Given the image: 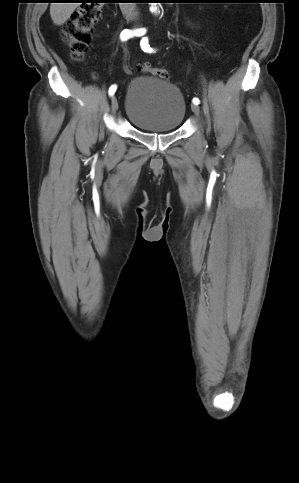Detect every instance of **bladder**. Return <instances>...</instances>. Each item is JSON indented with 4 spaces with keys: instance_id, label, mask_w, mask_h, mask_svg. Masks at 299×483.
I'll return each mask as SVG.
<instances>
[{
    "instance_id": "obj_1",
    "label": "bladder",
    "mask_w": 299,
    "mask_h": 483,
    "mask_svg": "<svg viewBox=\"0 0 299 483\" xmlns=\"http://www.w3.org/2000/svg\"><path fill=\"white\" fill-rule=\"evenodd\" d=\"M185 111V100L178 87L158 77H139L127 87L126 118L138 130L175 131L183 122Z\"/></svg>"
}]
</instances>
